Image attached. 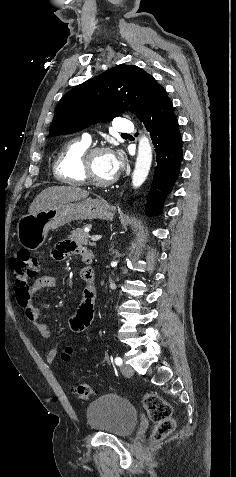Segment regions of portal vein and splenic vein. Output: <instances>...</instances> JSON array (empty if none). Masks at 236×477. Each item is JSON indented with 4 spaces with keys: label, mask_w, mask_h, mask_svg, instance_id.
Listing matches in <instances>:
<instances>
[{
    "label": "portal vein and splenic vein",
    "mask_w": 236,
    "mask_h": 477,
    "mask_svg": "<svg viewBox=\"0 0 236 477\" xmlns=\"http://www.w3.org/2000/svg\"><path fill=\"white\" fill-rule=\"evenodd\" d=\"M101 238H102L101 235H93V236H91V240H92V241H98V240H100Z\"/></svg>",
    "instance_id": "1"
}]
</instances>
